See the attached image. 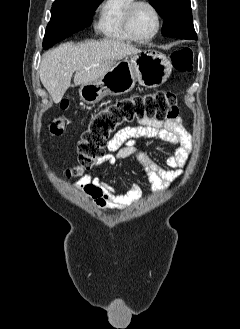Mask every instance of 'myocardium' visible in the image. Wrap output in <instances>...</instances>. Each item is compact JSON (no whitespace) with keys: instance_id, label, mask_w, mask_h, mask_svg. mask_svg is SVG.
<instances>
[{"instance_id":"obj_1","label":"myocardium","mask_w":240,"mask_h":329,"mask_svg":"<svg viewBox=\"0 0 240 329\" xmlns=\"http://www.w3.org/2000/svg\"><path fill=\"white\" fill-rule=\"evenodd\" d=\"M140 6L148 7L152 11V13L154 14L155 19H156V28H155L154 32L148 37H139L135 34V32L132 29L133 14H134L135 10ZM161 26H162L161 14H160L159 10L157 9V7L152 2H150L148 0H134V2L128 7L126 14H125V18H124V27H125L126 33L134 41L148 42V41L153 40L158 35L159 31L161 30Z\"/></svg>"}]
</instances>
